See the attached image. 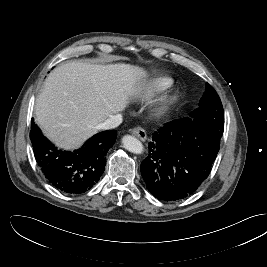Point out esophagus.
I'll return each mask as SVG.
<instances>
[{
    "mask_svg": "<svg viewBox=\"0 0 267 267\" xmlns=\"http://www.w3.org/2000/svg\"><path fill=\"white\" fill-rule=\"evenodd\" d=\"M130 133L140 139L141 141H145L147 138V134L144 129L141 127H134L130 130Z\"/></svg>",
    "mask_w": 267,
    "mask_h": 267,
    "instance_id": "obj_1",
    "label": "esophagus"
}]
</instances>
